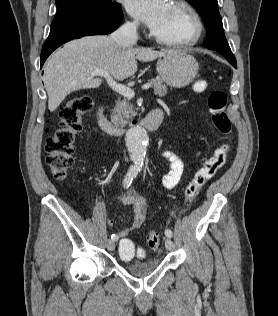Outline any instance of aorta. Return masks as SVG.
Instances as JSON below:
<instances>
[{"instance_id":"aorta-1","label":"aorta","mask_w":278,"mask_h":316,"mask_svg":"<svg viewBox=\"0 0 278 316\" xmlns=\"http://www.w3.org/2000/svg\"><path fill=\"white\" fill-rule=\"evenodd\" d=\"M148 140L147 131L141 126L132 127L126 133L125 142L135 169L144 166Z\"/></svg>"}]
</instances>
